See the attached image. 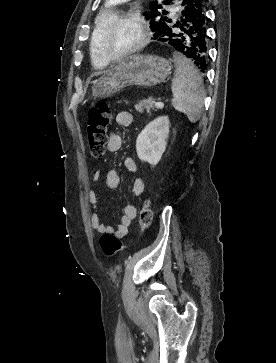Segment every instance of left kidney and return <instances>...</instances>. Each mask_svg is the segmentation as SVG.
Listing matches in <instances>:
<instances>
[{
	"label": "left kidney",
	"instance_id": "5707ae66",
	"mask_svg": "<svg viewBox=\"0 0 276 363\" xmlns=\"http://www.w3.org/2000/svg\"><path fill=\"white\" fill-rule=\"evenodd\" d=\"M169 136V118L161 116L151 121L136 139V152L142 162L155 166L161 160Z\"/></svg>",
	"mask_w": 276,
	"mask_h": 363
}]
</instances>
